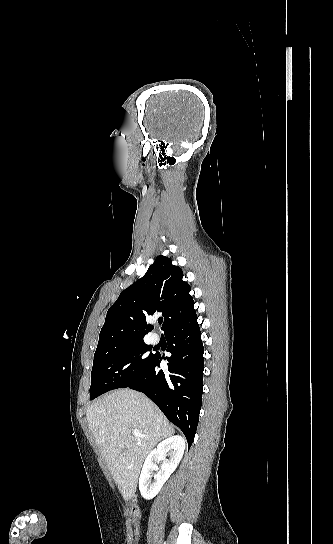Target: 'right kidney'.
<instances>
[{
	"instance_id": "1",
	"label": "right kidney",
	"mask_w": 333,
	"mask_h": 544,
	"mask_svg": "<svg viewBox=\"0 0 333 544\" xmlns=\"http://www.w3.org/2000/svg\"><path fill=\"white\" fill-rule=\"evenodd\" d=\"M184 449V439L181 436H173L159 443L157 448L149 453L139 478V490L144 499H152L159 493L164 483L180 463ZM167 453L170 456L169 460H165ZM157 461H163V463L160 471L154 475V482H151L152 472L157 469Z\"/></svg>"
}]
</instances>
